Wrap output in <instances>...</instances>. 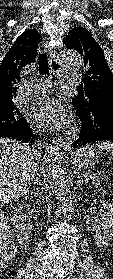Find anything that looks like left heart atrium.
Returning <instances> with one entry per match:
<instances>
[{
	"label": "left heart atrium",
	"instance_id": "obj_1",
	"mask_svg": "<svg viewBox=\"0 0 113 279\" xmlns=\"http://www.w3.org/2000/svg\"><path fill=\"white\" fill-rule=\"evenodd\" d=\"M34 118L45 129H58L67 122V107L59 98L43 97L34 109Z\"/></svg>",
	"mask_w": 113,
	"mask_h": 279
}]
</instances>
